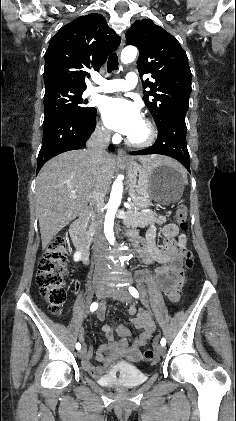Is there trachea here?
<instances>
[{"mask_svg": "<svg viewBox=\"0 0 236 421\" xmlns=\"http://www.w3.org/2000/svg\"><path fill=\"white\" fill-rule=\"evenodd\" d=\"M118 69V58H117V54L111 53V55L108 58V62H107V71L110 73L113 70H117Z\"/></svg>", "mask_w": 236, "mask_h": 421, "instance_id": "3493384b", "label": "trachea"}]
</instances>
